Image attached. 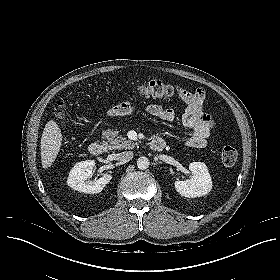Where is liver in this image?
Returning a JSON list of instances; mask_svg holds the SVG:
<instances>
[{
  "instance_id": "1",
  "label": "liver",
  "mask_w": 280,
  "mask_h": 280,
  "mask_svg": "<svg viewBox=\"0 0 280 280\" xmlns=\"http://www.w3.org/2000/svg\"><path fill=\"white\" fill-rule=\"evenodd\" d=\"M62 145V133L54 120L45 125L41 137V160L42 167L47 169L54 163Z\"/></svg>"
}]
</instances>
